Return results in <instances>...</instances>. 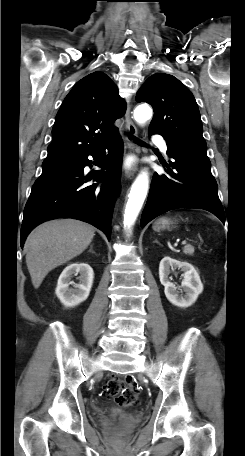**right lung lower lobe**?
<instances>
[{
	"instance_id": "obj_1",
	"label": "right lung lower lobe",
	"mask_w": 245,
	"mask_h": 456,
	"mask_svg": "<svg viewBox=\"0 0 245 456\" xmlns=\"http://www.w3.org/2000/svg\"><path fill=\"white\" fill-rule=\"evenodd\" d=\"M122 154V139L117 133L65 166L43 171L24 209L21 247L34 227L60 217L88 222L110 239L113 207L121 188ZM89 155L98 160V166L103 169L93 177L98 182L104 180L102 184L87 185L92 176H84L83 170L87 165L92 166Z\"/></svg>"
}]
</instances>
